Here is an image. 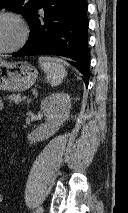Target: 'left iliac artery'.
<instances>
[{
	"mask_svg": "<svg viewBox=\"0 0 128 213\" xmlns=\"http://www.w3.org/2000/svg\"><path fill=\"white\" fill-rule=\"evenodd\" d=\"M36 213H43V208L40 206L38 209H37V212Z\"/></svg>",
	"mask_w": 128,
	"mask_h": 213,
	"instance_id": "left-iliac-artery-1",
	"label": "left iliac artery"
}]
</instances>
